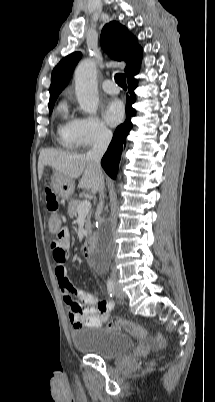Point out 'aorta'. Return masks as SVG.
I'll return each instance as SVG.
<instances>
[{
	"instance_id": "aorta-1",
	"label": "aorta",
	"mask_w": 215,
	"mask_h": 402,
	"mask_svg": "<svg viewBox=\"0 0 215 402\" xmlns=\"http://www.w3.org/2000/svg\"><path fill=\"white\" fill-rule=\"evenodd\" d=\"M75 92L80 109L87 114H96L98 108L97 69L90 59L81 61L74 73ZM105 230L94 253L95 259L107 260L110 256L109 246L104 239Z\"/></svg>"
}]
</instances>
